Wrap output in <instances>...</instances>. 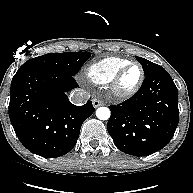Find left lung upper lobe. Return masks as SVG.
Segmentation results:
<instances>
[{
    "instance_id": "obj_1",
    "label": "left lung upper lobe",
    "mask_w": 193,
    "mask_h": 193,
    "mask_svg": "<svg viewBox=\"0 0 193 193\" xmlns=\"http://www.w3.org/2000/svg\"><path fill=\"white\" fill-rule=\"evenodd\" d=\"M136 59L142 65L145 75H147L148 73H150L151 71H153L154 69H156L159 66L141 57H136Z\"/></svg>"
}]
</instances>
